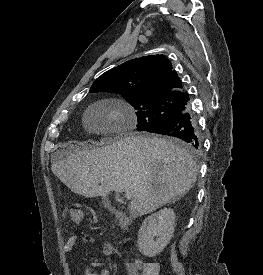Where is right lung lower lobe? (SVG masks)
Masks as SVG:
<instances>
[{
  "instance_id": "98d812e1",
  "label": "right lung lower lobe",
  "mask_w": 263,
  "mask_h": 275,
  "mask_svg": "<svg viewBox=\"0 0 263 275\" xmlns=\"http://www.w3.org/2000/svg\"><path fill=\"white\" fill-rule=\"evenodd\" d=\"M149 132L179 138L193 149H199L201 145L197 121L188 110L151 129Z\"/></svg>"
}]
</instances>
